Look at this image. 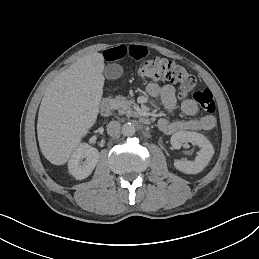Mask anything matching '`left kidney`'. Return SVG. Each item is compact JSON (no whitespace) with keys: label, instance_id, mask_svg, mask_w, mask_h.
<instances>
[{"label":"left kidney","instance_id":"1","mask_svg":"<svg viewBox=\"0 0 259 259\" xmlns=\"http://www.w3.org/2000/svg\"><path fill=\"white\" fill-rule=\"evenodd\" d=\"M190 142L201 148L194 161L176 160L174 166L186 174L201 172L211 160L214 154L213 145L202 134L190 131H179L172 135L170 143L174 149H180L183 143Z\"/></svg>","mask_w":259,"mask_h":259}]
</instances>
